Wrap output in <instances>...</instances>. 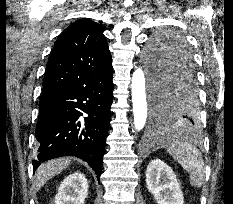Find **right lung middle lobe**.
<instances>
[{
	"instance_id": "right-lung-middle-lobe-1",
	"label": "right lung middle lobe",
	"mask_w": 233,
	"mask_h": 204,
	"mask_svg": "<svg viewBox=\"0 0 233 204\" xmlns=\"http://www.w3.org/2000/svg\"><path fill=\"white\" fill-rule=\"evenodd\" d=\"M54 119H55L54 115L47 113V112L44 113V112H42V110H40L35 136L39 135L47 127H49Z\"/></svg>"
}]
</instances>
